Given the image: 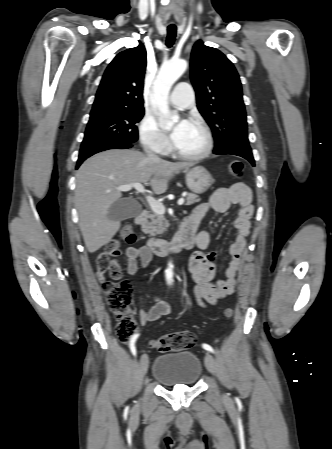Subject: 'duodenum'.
Returning <instances> with one entry per match:
<instances>
[{"label":"duodenum","instance_id":"duodenum-1","mask_svg":"<svg viewBox=\"0 0 332 449\" xmlns=\"http://www.w3.org/2000/svg\"><path fill=\"white\" fill-rule=\"evenodd\" d=\"M148 212L142 210L135 218V222L138 225H142L146 222ZM196 229L194 227L191 218H185L176 233L171 240L150 238L147 241V247L154 254L163 256L169 252H180L190 249L194 245V236Z\"/></svg>","mask_w":332,"mask_h":449}]
</instances>
